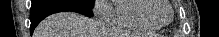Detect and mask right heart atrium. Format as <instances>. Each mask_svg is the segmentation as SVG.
Segmentation results:
<instances>
[{
    "instance_id": "1",
    "label": "right heart atrium",
    "mask_w": 219,
    "mask_h": 37,
    "mask_svg": "<svg viewBox=\"0 0 219 37\" xmlns=\"http://www.w3.org/2000/svg\"><path fill=\"white\" fill-rule=\"evenodd\" d=\"M95 16L103 22L110 23L114 19V9L108 0H96L93 5Z\"/></svg>"
}]
</instances>
